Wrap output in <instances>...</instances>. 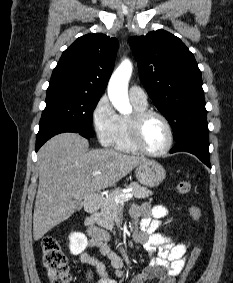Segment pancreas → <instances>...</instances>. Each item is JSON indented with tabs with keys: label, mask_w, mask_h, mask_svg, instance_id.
I'll use <instances>...</instances> for the list:
<instances>
[{
	"label": "pancreas",
	"mask_w": 233,
	"mask_h": 283,
	"mask_svg": "<svg viewBox=\"0 0 233 283\" xmlns=\"http://www.w3.org/2000/svg\"><path fill=\"white\" fill-rule=\"evenodd\" d=\"M126 188H132L134 198L144 199L152 195V191L141 186L137 182H131ZM125 194L122 189L116 190L108 194L104 198L103 206L98 214L95 215V220L101 227L112 231L114 223H118L122 217V204L115 202V197Z\"/></svg>",
	"instance_id": "obj_1"
}]
</instances>
